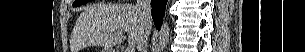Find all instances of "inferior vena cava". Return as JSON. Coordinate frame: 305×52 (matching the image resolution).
Segmentation results:
<instances>
[{"label":"inferior vena cava","mask_w":305,"mask_h":52,"mask_svg":"<svg viewBox=\"0 0 305 52\" xmlns=\"http://www.w3.org/2000/svg\"><path fill=\"white\" fill-rule=\"evenodd\" d=\"M136 8L139 12L140 19L145 26V34L143 40L138 44V52H147L148 38L151 30L152 16H151V0H137Z\"/></svg>","instance_id":"inferior-vena-cava-1"}]
</instances>
